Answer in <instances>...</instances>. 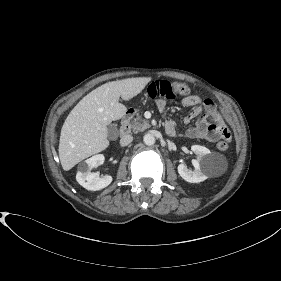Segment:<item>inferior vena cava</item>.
Segmentation results:
<instances>
[{
    "instance_id": "602c4592",
    "label": "inferior vena cava",
    "mask_w": 281,
    "mask_h": 281,
    "mask_svg": "<svg viewBox=\"0 0 281 281\" xmlns=\"http://www.w3.org/2000/svg\"><path fill=\"white\" fill-rule=\"evenodd\" d=\"M133 141V137L130 134H125L120 139V145L121 146H127Z\"/></svg>"
}]
</instances>
